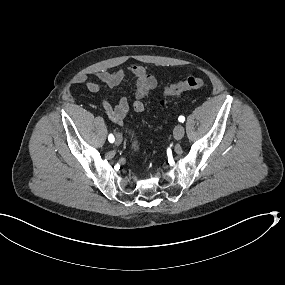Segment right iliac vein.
<instances>
[{"label": "right iliac vein", "instance_id": "obj_1", "mask_svg": "<svg viewBox=\"0 0 285 285\" xmlns=\"http://www.w3.org/2000/svg\"><path fill=\"white\" fill-rule=\"evenodd\" d=\"M122 142V136L120 134L116 135V144L119 145Z\"/></svg>", "mask_w": 285, "mask_h": 285}]
</instances>
